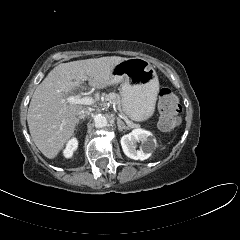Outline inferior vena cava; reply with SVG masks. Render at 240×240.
Listing matches in <instances>:
<instances>
[{
	"label": "inferior vena cava",
	"mask_w": 240,
	"mask_h": 240,
	"mask_svg": "<svg viewBox=\"0 0 240 240\" xmlns=\"http://www.w3.org/2000/svg\"><path fill=\"white\" fill-rule=\"evenodd\" d=\"M91 110L89 108H84L81 111H79L78 115L79 117L85 118L87 115H89Z\"/></svg>",
	"instance_id": "602c4592"
}]
</instances>
